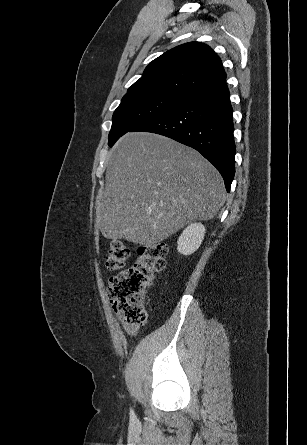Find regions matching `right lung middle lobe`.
<instances>
[{
	"instance_id": "dd1d6c3e",
	"label": "right lung middle lobe",
	"mask_w": 307,
	"mask_h": 445,
	"mask_svg": "<svg viewBox=\"0 0 307 445\" xmlns=\"http://www.w3.org/2000/svg\"><path fill=\"white\" fill-rule=\"evenodd\" d=\"M184 100L181 97L165 95L124 96L112 117L109 146L136 126L172 110Z\"/></svg>"
}]
</instances>
